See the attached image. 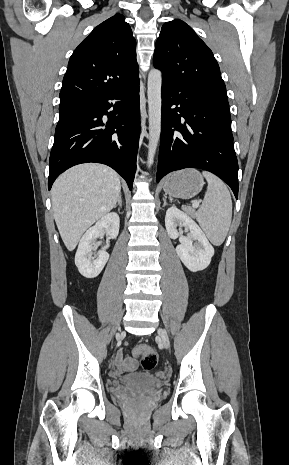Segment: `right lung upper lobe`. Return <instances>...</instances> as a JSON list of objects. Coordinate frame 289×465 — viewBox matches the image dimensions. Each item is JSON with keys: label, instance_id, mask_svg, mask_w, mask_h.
<instances>
[{"label": "right lung upper lobe", "instance_id": "1", "mask_svg": "<svg viewBox=\"0 0 289 465\" xmlns=\"http://www.w3.org/2000/svg\"><path fill=\"white\" fill-rule=\"evenodd\" d=\"M124 19L115 14L75 49L63 78L60 105L93 100L138 76L136 41Z\"/></svg>", "mask_w": 289, "mask_h": 465}]
</instances>
